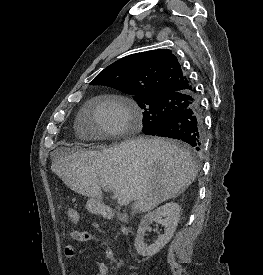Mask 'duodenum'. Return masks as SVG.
<instances>
[{
	"mask_svg": "<svg viewBox=\"0 0 263 275\" xmlns=\"http://www.w3.org/2000/svg\"><path fill=\"white\" fill-rule=\"evenodd\" d=\"M101 213H102V215H103L105 218H107V219H112V218H113V212H112L111 209L108 208V207H105V206L102 207V208H101ZM121 230H122V233H123L125 236L128 235L129 229H128L127 227L123 226Z\"/></svg>",
	"mask_w": 263,
	"mask_h": 275,
	"instance_id": "1",
	"label": "duodenum"
}]
</instances>
